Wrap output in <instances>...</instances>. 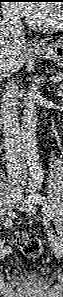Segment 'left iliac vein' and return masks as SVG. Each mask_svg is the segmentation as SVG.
Returning a JSON list of instances; mask_svg holds the SVG:
<instances>
[{
	"label": "left iliac vein",
	"mask_w": 63,
	"mask_h": 297,
	"mask_svg": "<svg viewBox=\"0 0 63 297\" xmlns=\"http://www.w3.org/2000/svg\"><path fill=\"white\" fill-rule=\"evenodd\" d=\"M16 205H17L18 209H20L21 211H24L29 214L35 213V207L33 206V204L22 195L18 196ZM53 247H54L55 253L58 256L61 255L62 244L59 241H55L53 244Z\"/></svg>",
	"instance_id": "obj_1"
}]
</instances>
